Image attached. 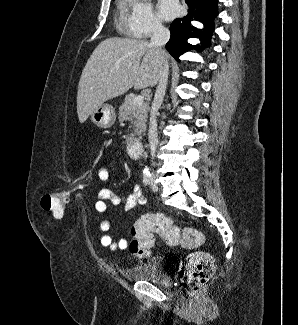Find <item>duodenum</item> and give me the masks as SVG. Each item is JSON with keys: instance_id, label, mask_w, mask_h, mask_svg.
<instances>
[{"instance_id": "obj_1", "label": "duodenum", "mask_w": 298, "mask_h": 325, "mask_svg": "<svg viewBox=\"0 0 298 325\" xmlns=\"http://www.w3.org/2000/svg\"><path fill=\"white\" fill-rule=\"evenodd\" d=\"M128 152L131 157L139 158L143 153V143L141 141H131L128 145Z\"/></svg>"}]
</instances>
